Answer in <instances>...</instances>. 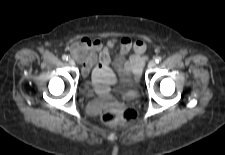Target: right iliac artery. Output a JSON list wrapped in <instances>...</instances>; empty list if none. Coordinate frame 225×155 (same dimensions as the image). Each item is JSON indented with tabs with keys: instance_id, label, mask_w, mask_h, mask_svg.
<instances>
[{
	"instance_id": "1",
	"label": "right iliac artery",
	"mask_w": 225,
	"mask_h": 155,
	"mask_svg": "<svg viewBox=\"0 0 225 155\" xmlns=\"http://www.w3.org/2000/svg\"><path fill=\"white\" fill-rule=\"evenodd\" d=\"M62 59H63L64 61H67V60H68V56H67V55H63V56H62Z\"/></svg>"
}]
</instances>
